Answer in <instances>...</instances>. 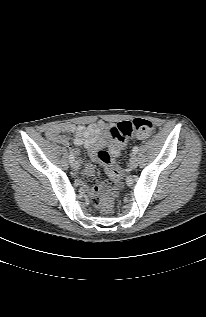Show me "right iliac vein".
Here are the masks:
<instances>
[{"instance_id": "1", "label": "right iliac vein", "mask_w": 206, "mask_h": 317, "mask_svg": "<svg viewBox=\"0 0 206 317\" xmlns=\"http://www.w3.org/2000/svg\"><path fill=\"white\" fill-rule=\"evenodd\" d=\"M71 166H72L73 169L77 170L79 168V163L77 161H73L71 163Z\"/></svg>"}]
</instances>
